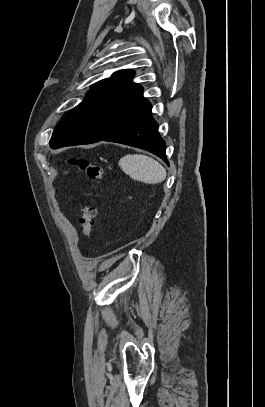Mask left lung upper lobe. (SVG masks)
Masks as SVG:
<instances>
[{"instance_id": "obj_1", "label": "left lung upper lobe", "mask_w": 265, "mask_h": 407, "mask_svg": "<svg viewBox=\"0 0 265 407\" xmlns=\"http://www.w3.org/2000/svg\"><path fill=\"white\" fill-rule=\"evenodd\" d=\"M133 71L121 70L96 83L86 98L63 115L54 129L49 146L91 144L101 141L142 117L151 104L141 85L132 82Z\"/></svg>"}]
</instances>
